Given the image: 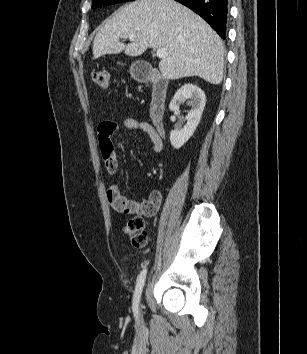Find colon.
<instances>
[{
  "label": "colon",
  "instance_id": "5ec220e1",
  "mask_svg": "<svg viewBox=\"0 0 307 354\" xmlns=\"http://www.w3.org/2000/svg\"><path fill=\"white\" fill-rule=\"evenodd\" d=\"M94 82L100 87H107L109 82V73L106 69H97L93 73ZM105 143L102 141L101 145ZM120 212L127 213L126 210L116 209ZM143 214L136 215L127 220L125 232L130 236L131 243L135 248H143L148 242V235L145 232V220Z\"/></svg>",
  "mask_w": 307,
  "mask_h": 354
}]
</instances>
